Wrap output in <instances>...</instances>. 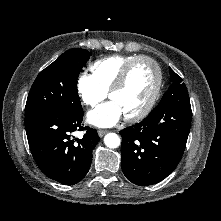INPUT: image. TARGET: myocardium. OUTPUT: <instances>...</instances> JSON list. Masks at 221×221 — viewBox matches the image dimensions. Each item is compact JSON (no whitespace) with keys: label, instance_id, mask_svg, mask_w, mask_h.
Returning a JSON list of instances; mask_svg holds the SVG:
<instances>
[{"label":"myocardium","instance_id":"1","mask_svg":"<svg viewBox=\"0 0 221 221\" xmlns=\"http://www.w3.org/2000/svg\"><path fill=\"white\" fill-rule=\"evenodd\" d=\"M140 61H146L149 62L153 65L155 71H156V83L154 90L145 104V106L136 114L130 115V116H125V120L128 122H138L142 119H144L153 109L159 95L162 89L163 85V73L162 69L159 65V63L153 59L152 57L145 56V55H140L132 59L130 62H128L123 69L120 71L119 75L117 76L115 82L111 86V88L108 91V97L110 98L111 94H113L116 91H119L122 89V87L125 85L126 80L128 78V75L131 71V69L134 67V65Z\"/></svg>","mask_w":221,"mask_h":221}]
</instances>
